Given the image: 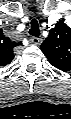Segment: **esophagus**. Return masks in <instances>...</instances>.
<instances>
[{
	"label": "esophagus",
	"mask_w": 71,
	"mask_h": 119,
	"mask_svg": "<svg viewBox=\"0 0 71 119\" xmlns=\"http://www.w3.org/2000/svg\"><path fill=\"white\" fill-rule=\"evenodd\" d=\"M30 41L34 45H40L42 43V39L41 38H37V37H32L30 39Z\"/></svg>",
	"instance_id": "obj_1"
}]
</instances>
